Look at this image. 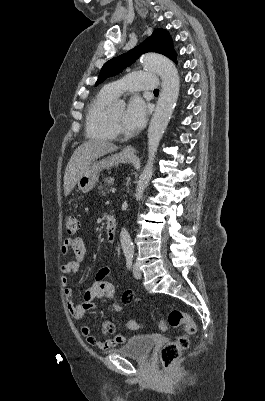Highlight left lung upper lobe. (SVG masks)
I'll return each mask as SVG.
<instances>
[{"instance_id":"left-lung-upper-lobe-1","label":"left lung upper lobe","mask_w":265,"mask_h":401,"mask_svg":"<svg viewBox=\"0 0 265 401\" xmlns=\"http://www.w3.org/2000/svg\"><path fill=\"white\" fill-rule=\"evenodd\" d=\"M146 52L163 54L171 60H176V53L173 49L172 39L164 29H156L152 35L139 46L133 48L126 54L113 58L102 67L95 85L102 83L107 77L118 74L123 68L134 62L139 56Z\"/></svg>"}]
</instances>
